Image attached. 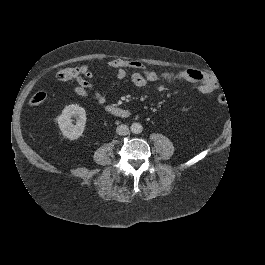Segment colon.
<instances>
[{
  "mask_svg": "<svg viewBox=\"0 0 265 265\" xmlns=\"http://www.w3.org/2000/svg\"><path fill=\"white\" fill-rule=\"evenodd\" d=\"M83 69L80 67H73V68H65L61 69L57 72L56 77L60 81H66L69 79H73L77 76H79L82 73ZM46 99V93L44 91H38L34 93L30 97V104L31 105H40L42 104ZM218 101L221 104H224L226 102V98L224 95H219Z\"/></svg>",
  "mask_w": 265,
  "mask_h": 265,
  "instance_id": "obj_1",
  "label": "colon"
}]
</instances>
